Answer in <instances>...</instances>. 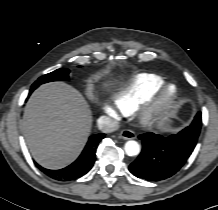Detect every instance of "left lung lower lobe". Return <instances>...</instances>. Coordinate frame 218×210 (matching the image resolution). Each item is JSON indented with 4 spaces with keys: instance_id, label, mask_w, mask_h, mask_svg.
<instances>
[{
    "instance_id": "obj_1",
    "label": "left lung lower lobe",
    "mask_w": 218,
    "mask_h": 210,
    "mask_svg": "<svg viewBox=\"0 0 218 210\" xmlns=\"http://www.w3.org/2000/svg\"><path fill=\"white\" fill-rule=\"evenodd\" d=\"M199 135L185 132L168 137L145 133L139 136L143 149L129 166V171L138 178L159 181L174 175L191 155Z\"/></svg>"
}]
</instances>
